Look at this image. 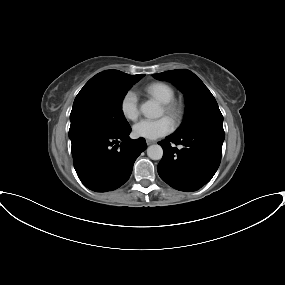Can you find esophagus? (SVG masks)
I'll return each mask as SVG.
<instances>
[{"label":"esophagus","instance_id":"esophagus-1","mask_svg":"<svg viewBox=\"0 0 285 285\" xmlns=\"http://www.w3.org/2000/svg\"><path fill=\"white\" fill-rule=\"evenodd\" d=\"M146 143H147V145H151V144L155 143V141L147 139Z\"/></svg>","mask_w":285,"mask_h":285}]
</instances>
